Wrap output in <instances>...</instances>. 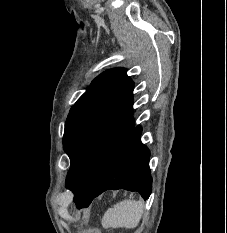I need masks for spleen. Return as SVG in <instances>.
I'll list each match as a JSON object with an SVG mask.
<instances>
[{
  "label": "spleen",
  "instance_id": "1",
  "mask_svg": "<svg viewBox=\"0 0 227 233\" xmlns=\"http://www.w3.org/2000/svg\"><path fill=\"white\" fill-rule=\"evenodd\" d=\"M143 214L142 200H123L106 211L102 219L105 228H135Z\"/></svg>",
  "mask_w": 227,
  "mask_h": 233
}]
</instances>
